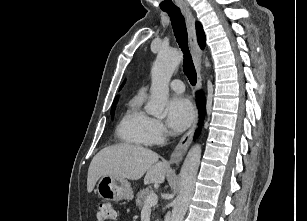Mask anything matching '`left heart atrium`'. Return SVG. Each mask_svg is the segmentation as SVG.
Segmentation results:
<instances>
[{"label": "left heart atrium", "mask_w": 307, "mask_h": 221, "mask_svg": "<svg viewBox=\"0 0 307 221\" xmlns=\"http://www.w3.org/2000/svg\"><path fill=\"white\" fill-rule=\"evenodd\" d=\"M194 117L191 103L183 97L172 98L167 105V124L174 133L189 127Z\"/></svg>", "instance_id": "39dd6f15"}]
</instances>
